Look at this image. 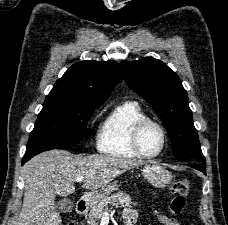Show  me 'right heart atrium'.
<instances>
[{
    "instance_id": "1",
    "label": "right heart atrium",
    "mask_w": 228,
    "mask_h": 225,
    "mask_svg": "<svg viewBox=\"0 0 228 225\" xmlns=\"http://www.w3.org/2000/svg\"><path fill=\"white\" fill-rule=\"evenodd\" d=\"M99 115H100V113H97L96 117L99 116Z\"/></svg>"
}]
</instances>
